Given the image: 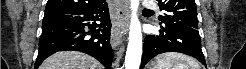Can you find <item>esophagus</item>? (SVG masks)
I'll return each instance as SVG.
<instances>
[{
	"label": "esophagus",
	"mask_w": 246,
	"mask_h": 69,
	"mask_svg": "<svg viewBox=\"0 0 246 69\" xmlns=\"http://www.w3.org/2000/svg\"><path fill=\"white\" fill-rule=\"evenodd\" d=\"M119 18V28H114L111 32V44L115 48L121 43L122 35H125L128 31L130 13H129V1L122 0L120 3V9L117 12Z\"/></svg>",
	"instance_id": "34e87169"
}]
</instances>
